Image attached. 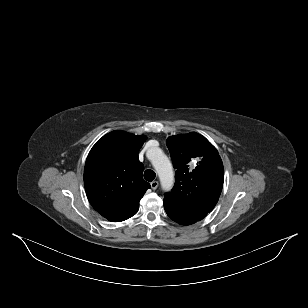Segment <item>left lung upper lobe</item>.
Returning <instances> with one entry per match:
<instances>
[{"label":"left lung upper lobe","mask_w":308,"mask_h":308,"mask_svg":"<svg viewBox=\"0 0 308 308\" xmlns=\"http://www.w3.org/2000/svg\"><path fill=\"white\" fill-rule=\"evenodd\" d=\"M166 144L176 182L165 194L164 208L173 221L191 225L215 207L223 187V163L216 148L196 132L170 136Z\"/></svg>","instance_id":"left-lung-upper-lobe-1"}]
</instances>
